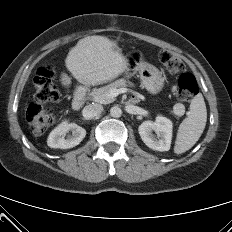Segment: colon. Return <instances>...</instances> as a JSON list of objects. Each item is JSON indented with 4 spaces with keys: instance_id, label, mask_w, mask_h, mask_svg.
<instances>
[{
    "instance_id": "5ec220e1",
    "label": "colon",
    "mask_w": 232,
    "mask_h": 232,
    "mask_svg": "<svg viewBox=\"0 0 232 232\" xmlns=\"http://www.w3.org/2000/svg\"><path fill=\"white\" fill-rule=\"evenodd\" d=\"M161 67L170 74L184 71L181 58L169 50H161L158 54ZM53 74L48 68H41L35 77L34 101L29 105L26 119L33 134L42 135L53 123L54 114L46 105L59 100V92L52 80ZM199 92L198 83L193 74L182 73L177 83V97L181 101H190Z\"/></svg>"
}]
</instances>
